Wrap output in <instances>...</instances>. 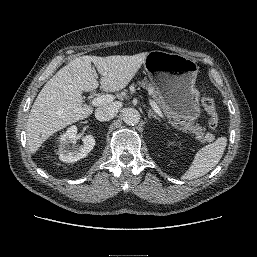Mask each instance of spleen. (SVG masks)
<instances>
[{
    "label": "spleen",
    "instance_id": "3e777b00",
    "mask_svg": "<svg viewBox=\"0 0 257 257\" xmlns=\"http://www.w3.org/2000/svg\"><path fill=\"white\" fill-rule=\"evenodd\" d=\"M227 145L226 137H219L215 142L201 148L194 156L189 169L182 175V180H193L212 170L223 156Z\"/></svg>",
    "mask_w": 257,
    "mask_h": 257
}]
</instances>
